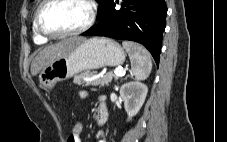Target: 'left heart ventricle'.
Listing matches in <instances>:
<instances>
[{"mask_svg": "<svg viewBox=\"0 0 227 142\" xmlns=\"http://www.w3.org/2000/svg\"><path fill=\"white\" fill-rule=\"evenodd\" d=\"M89 17L83 0H56L42 14L43 27L53 33H64L84 25Z\"/></svg>", "mask_w": 227, "mask_h": 142, "instance_id": "obj_1", "label": "left heart ventricle"}]
</instances>
